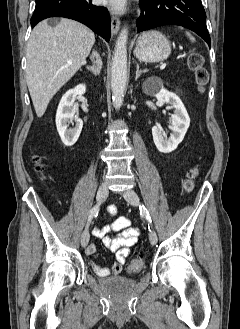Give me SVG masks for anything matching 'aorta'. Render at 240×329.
<instances>
[{"mask_svg": "<svg viewBox=\"0 0 240 329\" xmlns=\"http://www.w3.org/2000/svg\"><path fill=\"white\" fill-rule=\"evenodd\" d=\"M127 39L128 31L124 28L117 38L111 67V90L113 105L119 110L127 82Z\"/></svg>", "mask_w": 240, "mask_h": 329, "instance_id": "762f6f07", "label": "aorta"}]
</instances>
